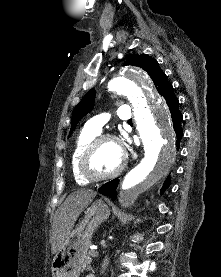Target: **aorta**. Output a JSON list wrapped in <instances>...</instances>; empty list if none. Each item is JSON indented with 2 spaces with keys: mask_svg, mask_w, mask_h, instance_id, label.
Returning <instances> with one entry per match:
<instances>
[{
  "mask_svg": "<svg viewBox=\"0 0 221 277\" xmlns=\"http://www.w3.org/2000/svg\"><path fill=\"white\" fill-rule=\"evenodd\" d=\"M108 87L126 96L132 104L136 128L144 145V157L122 182L123 204L129 206L171 168L175 157V134L167 105L152 92L144 71L127 67L110 80Z\"/></svg>",
  "mask_w": 221,
  "mask_h": 277,
  "instance_id": "762f6f07",
  "label": "aorta"
}]
</instances>
